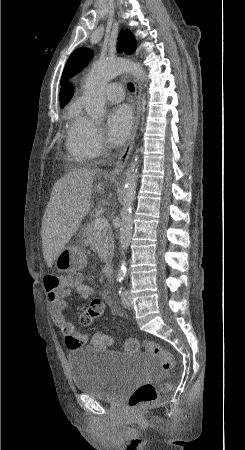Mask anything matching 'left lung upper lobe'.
Listing matches in <instances>:
<instances>
[{"label":"left lung upper lobe","instance_id":"1","mask_svg":"<svg viewBox=\"0 0 245 450\" xmlns=\"http://www.w3.org/2000/svg\"><path fill=\"white\" fill-rule=\"evenodd\" d=\"M137 47V42L129 30H122L119 35V51L132 54ZM93 57V52L88 48H79L69 57L61 78V83L80 72L87 66Z\"/></svg>","mask_w":245,"mask_h":450}]
</instances>
